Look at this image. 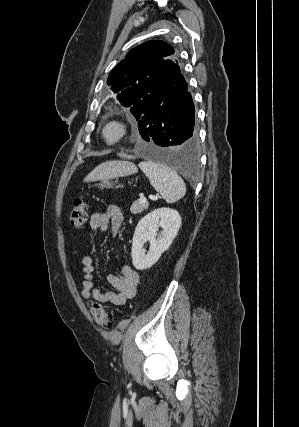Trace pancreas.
Listing matches in <instances>:
<instances>
[{
	"label": "pancreas",
	"instance_id": "obj_1",
	"mask_svg": "<svg viewBox=\"0 0 299 427\" xmlns=\"http://www.w3.org/2000/svg\"><path fill=\"white\" fill-rule=\"evenodd\" d=\"M147 202H142L140 199H137L131 206L130 211L133 214H139L148 208Z\"/></svg>",
	"mask_w": 299,
	"mask_h": 427
}]
</instances>
